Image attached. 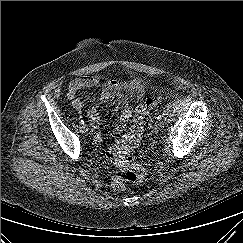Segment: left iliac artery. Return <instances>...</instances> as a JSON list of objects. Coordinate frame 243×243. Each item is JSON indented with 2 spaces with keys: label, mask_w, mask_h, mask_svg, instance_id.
<instances>
[{
  "label": "left iliac artery",
  "mask_w": 243,
  "mask_h": 243,
  "mask_svg": "<svg viewBox=\"0 0 243 243\" xmlns=\"http://www.w3.org/2000/svg\"><path fill=\"white\" fill-rule=\"evenodd\" d=\"M157 119H158V120H161V115H158Z\"/></svg>",
  "instance_id": "1"
}]
</instances>
